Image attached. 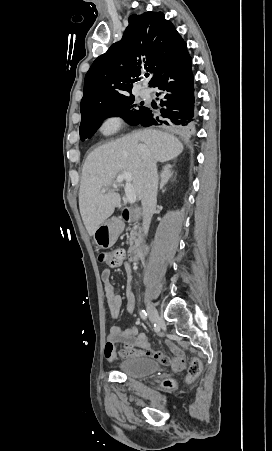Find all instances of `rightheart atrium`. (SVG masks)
I'll return each instance as SVG.
<instances>
[{
	"mask_svg": "<svg viewBox=\"0 0 272 451\" xmlns=\"http://www.w3.org/2000/svg\"><path fill=\"white\" fill-rule=\"evenodd\" d=\"M116 125H117L116 120H110L109 122H107L105 124L104 130L109 131V130L113 129Z\"/></svg>",
	"mask_w": 272,
	"mask_h": 451,
	"instance_id": "obj_1",
	"label": "right heart atrium"
}]
</instances>
